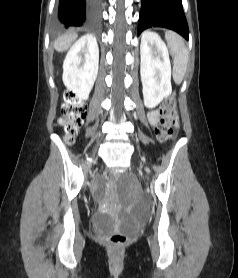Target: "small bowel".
I'll use <instances>...</instances> for the list:
<instances>
[{"label":"small bowel","mask_w":238,"mask_h":278,"mask_svg":"<svg viewBox=\"0 0 238 278\" xmlns=\"http://www.w3.org/2000/svg\"><path fill=\"white\" fill-rule=\"evenodd\" d=\"M158 117H159V115H158V112H157V111H152V112H150V114H149V120H150V122L153 123V124L157 123Z\"/></svg>","instance_id":"obj_1"}]
</instances>
